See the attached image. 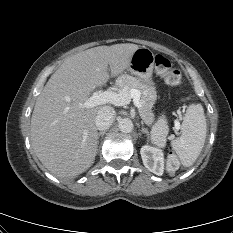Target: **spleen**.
Returning <instances> with one entry per match:
<instances>
[{
  "instance_id": "spleen-1",
  "label": "spleen",
  "mask_w": 233,
  "mask_h": 233,
  "mask_svg": "<svg viewBox=\"0 0 233 233\" xmlns=\"http://www.w3.org/2000/svg\"><path fill=\"white\" fill-rule=\"evenodd\" d=\"M206 133L207 123L202 105H189L181 125V136L171 142V146L183 166L189 167L195 163L204 147ZM174 160L175 158L168 160L171 172L176 170L172 166Z\"/></svg>"
}]
</instances>
